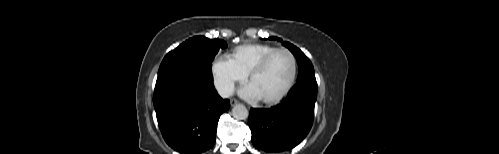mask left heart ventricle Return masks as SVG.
I'll return each instance as SVG.
<instances>
[{"label": "left heart ventricle", "instance_id": "b2bd125f", "mask_svg": "<svg viewBox=\"0 0 499 154\" xmlns=\"http://www.w3.org/2000/svg\"><path fill=\"white\" fill-rule=\"evenodd\" d=\"M292 71L291 60L285 53L276 54L263 71L250 80L260 99L278 95L289 81Z\"/></svg>", "mask_w": 499, "mask_h": 154}]
</instances>
